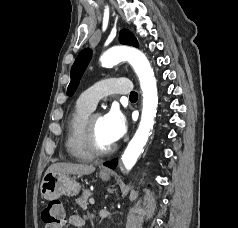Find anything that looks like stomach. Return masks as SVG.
<instances>
[{
	"label": "stomach",
	"instance_id": "0dacf381",
	"mask_svg": "<svg viewBox=\"0 0 238 228\" xmlns=\"http://www.w3.org/2000/svg\"><path fill=\"white\" fill-rule=\"evenodd\" d=\"M100 178L108 181L111 174L109 172H100ZM80 184L68 174L49 172L46 173L40 185L41 196L46 200H54L60 196L77 195L80 191Z\"/></svg>",
	"mask_w": 238,
	"mask_h": 228
}]
</instances>
